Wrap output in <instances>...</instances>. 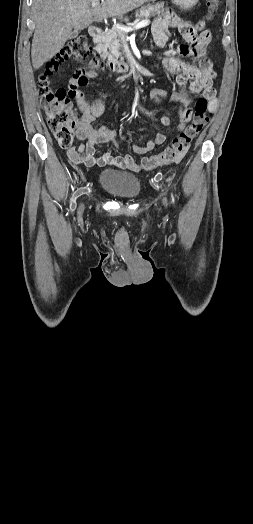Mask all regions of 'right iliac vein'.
<instances>
[{
  "label": "right iliac vein",
  "mask_w": 253,
  "mask_h": 524,
  "mask_svg": "<svg viewBox=\"0 0 253 524\" xmlns=\"http://www.w3.org/2000/svg\"><path fill=\"white\" fill-rule=\"evenodd\" d=\"M84 210V203L80 202L78 206V214H81Z\"/></svg>",
  "instance_id": "obj_1"
}]
</instances>
